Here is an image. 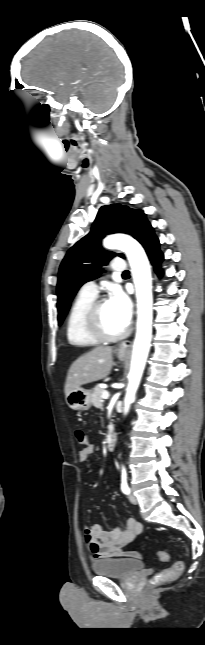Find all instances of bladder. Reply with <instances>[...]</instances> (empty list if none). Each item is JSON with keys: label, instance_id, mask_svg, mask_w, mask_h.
I'll use <instances>...</instances> for the list:
<instances>
[{"label": "bladder", "instance_id": "1", "mask_svg": "<svg viewBox=\"0 0 205 645\" xmlns=\"http://www.w3.org/2000/svg\"><path fill=\"white\" fill-rule=\"evenodd\" d=\"M143 568L144 562L132 557L101 559L92 564L95 574L120 578L130 577Z\"/></svg>", "mask_w": 205, "mask_h": 645}]
</instances>
